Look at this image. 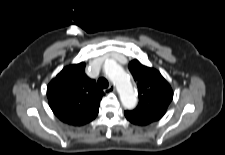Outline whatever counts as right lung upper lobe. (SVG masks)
<instances>
[{
  "mask_svg": "<svg viewBox=\"0 0 225 155\" xmlns=\"http://www.w3.org/2000/svg\"><path fill=\"white\" fill-rule=\"evenodd\" d=\"M84 69V62L67 66L47 86L53 113L62 122L73 126L85 125L95 119L104 95Z\"/></svg>",
  "mask_w": 225,
  "mask_h": 155,
  "instance_id": "right-lung-upper-lobe-1",
  "label": "right lung upper lobe"
}]
</instances>
